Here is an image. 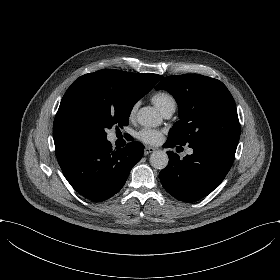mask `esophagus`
<instances>
[{
  "label": "esophagus",
  "mask_w": 280,
  "mask_h": 280,
  "mask_svg": "<svg viewBox=\"0 0 280 280\" xmlns=\"http://www.w3.org/2000/svg\"><path fill=\"white\" fill-rule=\"evenodd\" d=\"M155 150H156V149L153 148V147H145V148H144V155L146 156V155H148V154L154 152Z\"/></svg>",
  "instance_id": "34e87169"
}]
</instances>
